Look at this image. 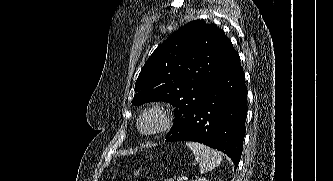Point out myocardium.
<instances>
[{
  "instance_id": "myocardium-1",
  "label": "myocardium",
  "mask_w": 333,
  "mask_h": 181,
  "mask_svg": "<svg viewBox=\"0 0 333 181\" xmlns=\"http://www.w3.org/2000/svg\"><path fill=\"white\" fill-rule=\"evenodd\" d=\"M152 118L154 124L145 126V121ZM174 121L172 109L165 103L154 102L146 106L139 114L136 122L137 130L144 136H153L168 130Z\"/></svg>"
}]
</instances>
